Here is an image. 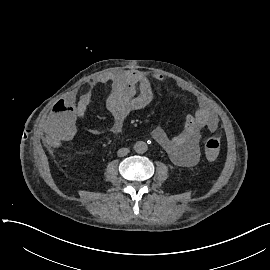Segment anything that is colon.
Wrapping results in <instances>:
<instances>
[{"mask_svg": "<svg viewBox=\"0 0 270 270\" xmlns=\"http://www.w3.org/2000/svg\"><path fill=\"white\" fill-rule=\"evenodd\" d=\"M203 147L209 158H214L220 150V140L216 136H206L203 139Z\"/></svg>", "mask_w": 270, "mask_h": 270, "instance_id": "obj_1", "label": "colon"}]
</instances>
